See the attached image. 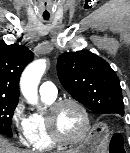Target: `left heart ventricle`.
I'll return each mask as SVG.
<instances>
[{
    "label": "left heart ventricle",
    "mask_w": 130,
    "mask_h": 153,
    "mask_svg": "<svg viewBox=\"0 0 130 153\" xmlns=\"http://www.w3.org/2000/svg\"><path fill=\"white\" fill-rule=\"evenodd\" d=\"M57 129L64 138H77L84 127L81 112L73 105L63 106L56 116Z\"/></svg>",
    "instance_id": "obj_1"
}]
</instances>
